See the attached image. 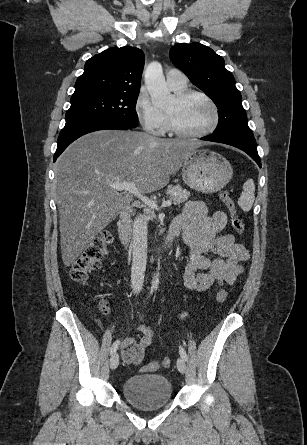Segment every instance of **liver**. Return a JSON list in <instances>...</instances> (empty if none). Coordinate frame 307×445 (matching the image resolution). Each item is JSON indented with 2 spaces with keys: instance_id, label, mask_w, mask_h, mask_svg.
<instances>
[{
  "instance_id": "liver-1",
  "label": "liver",
  "mask_w": 307,
  "mask_h": 445,
  "mask_svg": "<svg viewBox=\"0 0 307 445\" xmlns=\"http://www.w3.org/2000/svg\"><path fill=\"white\" fill-rule=\"evenodd\" d=\"M200 144L134 130H96L72 142L55 168L65 267L133 200L109 182H135L140 192L160 190Z\"/></svg>"
}]
</instances>
